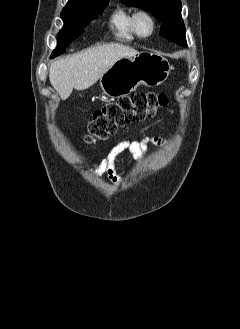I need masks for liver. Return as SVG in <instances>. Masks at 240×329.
I'll use <instances>...</instances> for the list:
<instances>
[{
    "label": "liver",
    "instance_id": "obj_1",
    "mask_svg": "<svg viewBox=\"0 0 240 329\" xmlns=\"http://www.w3.org/2000/svg\"><path fill=\"white\" fill-rule=\"evenodd\" d=\"M139 52L119 43L89 48L77 55L54 61L49 70L51 85L66 100L73 89L85 90L92 86L119 59Z\"/></svg>",
    "mask_w": 240,
    "mask_h": 329
}]
</instances>
